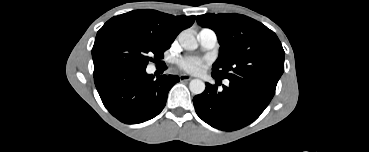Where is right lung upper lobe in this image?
Instances as JSON below:
<instances>
[{"label": "right lung upper lobe", "instance_id": "obj_1", "mask_svg": "<svg viewBox=\"0 0 369 152\" xmlns=\"http://www.w3.org/2000/svg\"><path fill=\"white\" fill-rule=\"evenodd\" d=\"M194 21L195 16H172L156 10L144 9L115 16L107 22L135 27L160 44L170 47L176 36L182 30L189 28Z\"/></svg>", "mask_w": 369, "mask_h": 152}]
</instances>
